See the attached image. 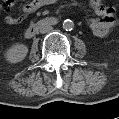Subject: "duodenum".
Wrapping results in <instances>:
<instances>
[{
  "mask_svg": "<svg viewBox=\"0 0 119 119\" xmlns=\"http://www.w3.org/2000/svg\"><path fill=\"white\" fill-rule=\"evenodd\" d=\"M57 23H58V20L55 17H46L36 22H33L25 30V37L31 38L34 35H36L41 28L47 27V26H53V25H56Z\"/></svg>",
  "mask_w": 119,
  "mask_h": 119,
  "instance_id": "410a0bca",
  "label": "duodenum"
}]
</instances>
